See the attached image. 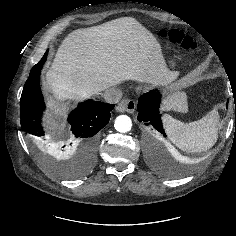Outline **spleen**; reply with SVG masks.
I'll return each instance as SVG.
<instances>
[{"instance_id":"obj_1","label":"spleen","mask_w":236,"mask_h":236,"mask_svg":"<svg viewBox=\"0 0 236 236\" xmlns=\"http://www.w3.org/2000/svg\"><path fill=\"white\" fill-rule=\"evenodd\" d=\"M162 120L170 141L183 151L205 152L217 142L219 116L216 110H212L200 120L190 123L174 119L168 114H164Z\"/></svg>"}]
</instances>
